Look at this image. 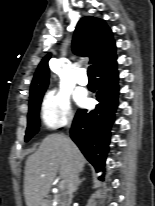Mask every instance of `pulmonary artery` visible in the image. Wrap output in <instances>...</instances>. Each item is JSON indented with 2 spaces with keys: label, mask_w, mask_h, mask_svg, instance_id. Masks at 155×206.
Here are the masks:
<instances>
[{
  "label": "pulmonary artery",
  "mask_w": 155,
  "mask_h": 206,
  "mask_svg": "<svg viewBox=\"0 0 155 206\" xmlns=\"http://www.w3.org/2000/svg\"><path fill=\"white\" fill-rule=\"evenodd\" d=\"M77 82L80 85H87L88 84V77L86 75V70L84 68L80 69L77 76Z\"/></svg>",
  "instance_id": "e3ab8cb5"
}]
</instances>
